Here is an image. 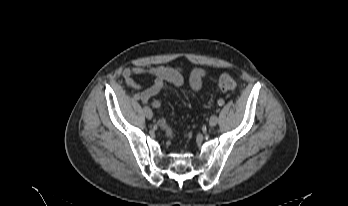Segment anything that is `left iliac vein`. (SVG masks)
<instances>
[{
  "label": "left iliac vein",
  "mask_w": 348,
  "mask_h": 206,
  "mask_svg": "<svg viewBox=\"0 0 348 206\" xmlns=\"http://www.w3.org/2000/svg\"><path fill=\"white\" fill-rule=\"evenodd\" d=\"M217 123H218V117L216 115H212L209 120V125L211 127H214L216 126Z\"/></svg>",
  "instance_id": "obj_1"
}]
</instances>
